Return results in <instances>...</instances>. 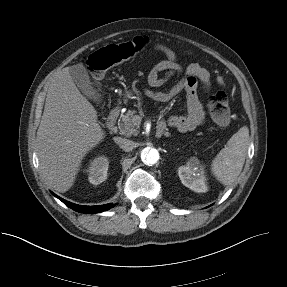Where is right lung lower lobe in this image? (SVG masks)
<instances>
[{
  "mask_svg": "<svg viewBox=\"0 0 287 287\" xmlns=\"http://www.w3.org/2000/svg\"><path fill=\"white\" fill-rule=\"evenodd\" d=\"M55 197L60 199L66 206L70 207L71 209L80 212V213H98V212H103L106 211L110 208H112L114 205L113 204H104V205H99V206H82V205H77L74 203H71L69 201H66L56 194H54Z\"/></svg>",
  "mask_w": 287,
  "mask_h": 287,
  "instance_id": "98d812e1",
  "label": "right lung lower lobe"
}]
</instances>
